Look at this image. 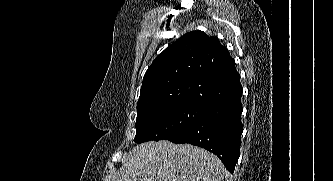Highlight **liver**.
<instances>
[{"label":"liver","mask_w":333,"mask_h":181,"mask_svg":"<svg viewBox=\"0 0 333 181\" xmlns=\"http://www.w3.org/2000/svg\"><path fill=\"white\" fill-rule=\"evenodd\" d=\"M108 181H223L225 167L209 151L167 140L137 145Z\"/></svg>","instance_id":"obj_1"}]
</instances>
